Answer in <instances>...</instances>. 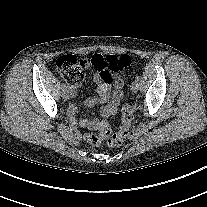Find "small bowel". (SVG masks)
I'll use <instances>...</instances> for the list:
<instances>
[{
	"label": "small bowel",
	"instance_id": "c3829d8e",
	"mask_svg": "<svg viewBox=\"0 0 207 207\" xmlns=\"http://www.w3.org/2000/svg\"><path fill=\"white\" fill-rule=\"evenodd\" d=\"M93 81L96 85L99 97H90L84 101L87 107L93 106L97 103L102 104L100 115L104 118L114 115L119 107L120 102L125 96L123 86L124 81L121 76L111 74L108 79H105L102 73H95ZM71 97L76 94V89L71 88L69 91ZM68 113L73 123L78 124L81 128L89 130H98L99 120L95 119H82L78 120L76 117L77 106L71 101L68 105Z\"/></svg>",
	"mask_w": 207,
	"mask_h": 207
}]
</instances>
